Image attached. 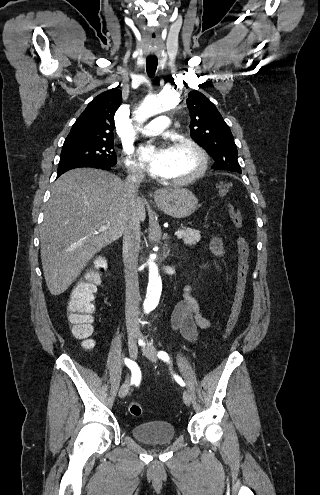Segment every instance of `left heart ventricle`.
I'll list each match as a JSON object with an SVG mask.
<instances>
[{
	"label": "left heart ventricle",
	"instance_id": "obj_1",
	"mask_svg": "<svg viewBox=\"0 0 320 495\" xmlns=\"http://www.w3.org/2000/svg\"><path fill=\"white\" fill-rule=\"evenodd\" d=\"M170 154L166 177L170 180L181 179L192 173L198 164L195 154L185 146L168 148Z\"/></svg>",
	"mask_w": 320,
	"mask_h": 495
}]
</instances>
